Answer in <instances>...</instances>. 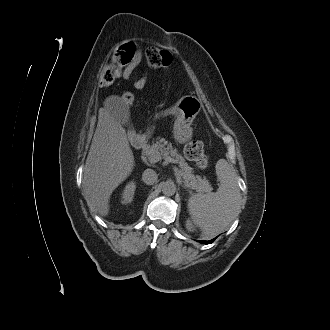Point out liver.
Returning <instances> with one entry per match:
<instances>
[{
    "label": "liver",
    "mask_w": 330,
    "mask_h": 330,
    "mask_svg": "<svg viewBox=\"0 0 330 330\" xmlns=\"http://www.w3.org/2000/svg\"><path fill=\"white\" fill-rule=\"evenodd\" d=\"M108 102L99 109L98 124L84 168L83 185L91 210L101 216L109 213V199L114 189L133 170L134 156L126 131Z\"/></svg>",
    "instance_id": "1"
}]
</instances>
